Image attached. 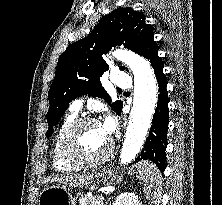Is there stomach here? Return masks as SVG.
<instances>
[{
    "label": "stomach",
    "instance_id": "obj_1",
    "mask_svg": "<svg viewBox=\"0 0 222 205\" xmlns=\"http://www.w3.org/2000/svg\"><path fill=\"white\" fill-rule=\"evenodd\" d=\"M137 167L133 166L130 169V173L134 174ZM112 170L111 169H103L95 174V178L98 182L103 184H111L112 183ZM121 177L117 179V181H121ZM39 205H75V198L72 197L69 190L64 185H49L46 186L39 197Z\"/></svg>",
    "mask_w": 222,
    "mask_h": 205
}]
</instances>
